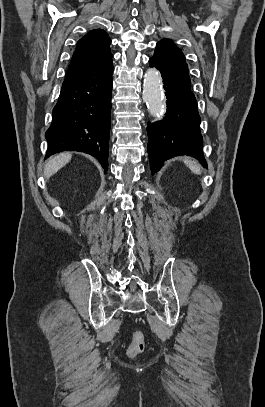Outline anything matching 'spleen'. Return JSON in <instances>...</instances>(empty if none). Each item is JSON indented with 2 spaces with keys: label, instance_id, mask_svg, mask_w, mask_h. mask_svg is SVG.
Instances as JSON below:
<instances>
[{
  "label": "spleen",
  "instance_id": "obj_1",
  "mask_svg": "<svg viewBox=\"0 0 265 407\" xmlns=\"http://www.w3.org/2000/svg\"><path fill=\"white\" fill-rule=\"evenodd\" d=\"M184 163L186 164L187 167H189V169L194 172L195 174H201V168L200 166L195 163L194 161L185 159Z\"/></svg>",
  "mask_w": 265,
  "mask_h": 407
}]
</instances>
